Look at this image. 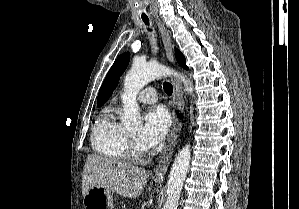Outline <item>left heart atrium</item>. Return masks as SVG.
<instances>
[{
	"instance_id": "39dd6f15",
	"label": "left heart atrium",
	"mask_w": 299,
	"mask_h": 209,
	"mask_svg": "<svg viewBox=\"0 0 299 209\" xmlns=\"http://www.w3.org/2000/svg\"><path fill=\"white\" fill-rule=\"evenodd\" d=\"M170 127V116L161 106L151 108L144 116V125L138 135L139 144L150 149L165 138Z\"/></svg>"
}]
</instances>
